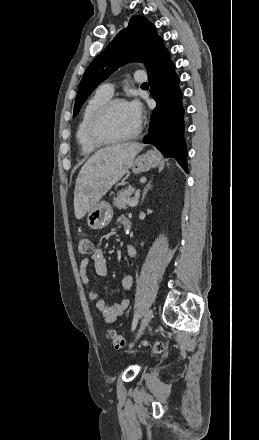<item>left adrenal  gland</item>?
<instances>
[{"label":"left adrenal gland","mask_w":259,"mask_h":440,"mask_svg":"<svg viewBox=\"0 0 259 440\" xmlns=\"http://www.w3.org/2000/svg\"><path fill=\"white\" fill-rule=\"evenodd\" d=\"M151 182H152V181H149L148 184L146 185V187H145L144 190H143L142 199H141V204H142V202L144 201V198H145V196H146L148 190L152 187Z\"/></svg>","instance_id":"left-adrenal-gland-1"}]
</instances>
